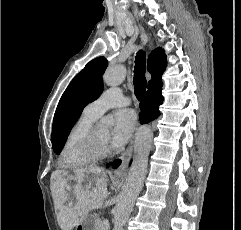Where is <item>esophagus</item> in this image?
I'll return each instance as SVG.
<instances>
[{"label":"esophagus","mask_w":241,"mask_h":230,"mask_svg":"<svg viewBox=\"0 0 241 230\" xmlns=\"http://www.w3.org/2000/svg\"><path fill=\"white\" fill-rule=\"evenodd\" d=\"M149 47L150 49L152 48V43L151 41L149 40ZM132 151H133V139L131 140L129 146L127 147V149L125 150V152L122 154L121 156V160H122V163L121 165L117 168V170L115 171V174L117 176L119 175H122L125 173L126 169H127V164H128V161L130 159V156L132 154Z\"/></svg>","instance_id":"1"}]
</instances>
